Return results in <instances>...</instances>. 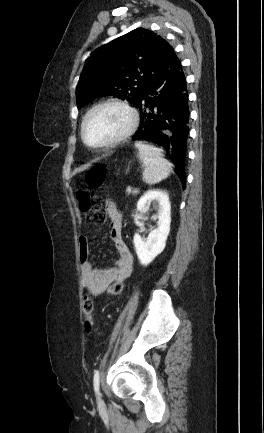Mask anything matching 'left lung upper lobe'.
I'll use <instances>...</instances> for the list:
<instances>
[{"mask_svg":"<svg viewBox=\"0 0 264 433\" xmlns=\"http://www.w3.org/2000/svg\"><path fill=\"white\" fill-rule=\"evenodd\" d=\"M172 51L165 39L143 28L96 49L82 70L76 88L77 106L107 95L136 104Z\"/></svg>","mask_w":264,"mask_h":433,"instance_id":"left-lung-upper-lobe-1","label":"left lung upper lobe"}]
</instances>
